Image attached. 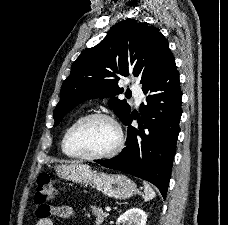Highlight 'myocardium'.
Returning a JSON list of instances; mask_svg holds the SVG:
<instances>
[{"instance_id":"myocardium-1","label":"myocardium","mask_w":228,"mask_h":225,"mask_svg":"<svg viewBox=\"0 0 228 225\" xmlns=\"http://www.w3.org/2000/svg\"><path fill=\"white\" fill-rule=\"evenodd\" d=\"M92 118L103 119V120L109 122L114 127L116 136H117V142H116L115 146L111 150H109L103 154H99V155H83V154L71 153L68 150V141H69V137H70L71 133L83 121L92 119ZM123 147H124V137H123V132H122V129H121L119 123L113 117H111L107 114H104V113H89V114H85V115L79 117L77 120H75L71 124V126L66 130V132L63 136V148H64L65 153L69 157L82 159V160L94 161V160L107 159V158L117 155L123 149Z\"/></svg>"}]
</instances>
